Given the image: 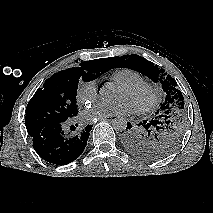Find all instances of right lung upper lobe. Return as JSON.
Returning <instances> with one entry per match:
<instances>
[{"instance_id": "cb5924a9", "label": "right lung upper lobe", "mask_w": 213, "mask_h": 213, "mask_svg": "<svg viewBox=\"0 0 213 213\" xmlns=\"http://www.w3.org/2000/svg\"><path fill=\"white\" fill-rule=\"evenodd\" d=\"M90 62L97 64L99 66H103V67H107L110 68L107 64V59L106 58H102V59H96V60H91Z\"/></svg>"}]
</instances>
